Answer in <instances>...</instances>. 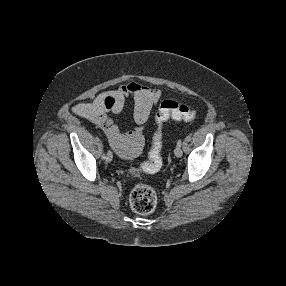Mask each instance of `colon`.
<instances>
[{"label":"colon","instance_id":"5ec220e1","mask_svg":"<svg viewBox=\"0 0 286 286\" xmlns=\"http://www.w3.org/2000/svg\"><path fill=\"white\" fill-rule=\"evenodd\" d=\"M196 110L184 103L165 100L161 103L155 117L157 130L154 133L152 146L149 151V161L143 163L142 169L147 173L157 172L162 164V131L161 127L169 118L191 121L196 117ZM130 205L138 214H149L157 206L156 192L147 184L137 185L130 194Z\"/></svg>","mask_w":286,"mask_h":286}]
</instances>
